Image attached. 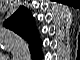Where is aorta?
Returning a JSON list of instances; mask_svg holds the SVG:
<instances>
[{
  "label": "aorta",
  "mask_w": 80,
  "mask_h": 60,
  "mask_svg": "<svg viewBox=\"0 0 80 60\" xmlns=\"http://www.w3.org/2000/svg\"><path fill=\"white\" fill-rule=\"evenodd\" d=\"M5 36L7 46L12 50L13 53L18 54L20 52L26 51L28 49L27 43L19 36L6 33Z\"/></svg>",
  "instance_id": "obj_1"
}]
</instances>
